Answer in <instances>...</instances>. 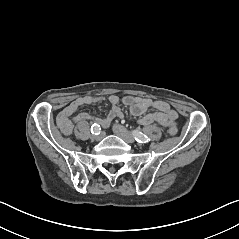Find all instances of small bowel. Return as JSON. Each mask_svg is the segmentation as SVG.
Wrapping results in <instances>:
<instances>
[{
  "label": "small bowel",
  "instance_id": "c3829d8e",
  "mask_svg": "<svg viewBox=\"0 0 239 239\" xmlns=\"http://www.w3.org/2000/svg\"><path fill=\"white\" fill-rule=\"evenodd\" d=\"M108 102L111 105V110L104 117H93L87 113H80L72 117L76 110L83 106L98 102ZM120 99L117 95H111L108 98L84 96L77 98L70 104L65 106L57 117V123L61 131L65 135H70L73 130V125L76 122L92 120L97 122L102 127H108L115 118L122 119L124 113L119 106ZM124 105L128 106L130 115L138 117V122L141 125H150L158 123L168 127L173 125L178 118L177 112L171 106L162 100L153 101L149 98L124 96L122 98ZM149 109H154L152 113H146Z\"/></svg>",
  "mask_w": 239,
  "mask_h": 239
}]
</instances>
